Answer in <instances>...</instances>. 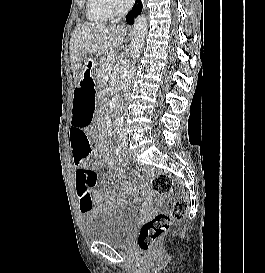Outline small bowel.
<instances>
[{
    "instance_id": "1",
    "label": "small bowel",
    "mask_w": 265,
    "mask_h": 273,
    "mask_svg": "<svg viewBox=\"0 0 265 273\" xmlns=\"http://www.w3.org/2000/svg\"><path fill=\"white\" fill-rule=\"evenodd\" d=\"M95 91H80L74 93V118L70 125V144L72 148V157L77 167L76 170V195L80 212L89 217V215L98 208H110L114 204H122L123 198L110 197L105 203H102L104 194L96 190L100 177V169L94 165V151L89 139L87 128L93 117ZM101 153L109 157L110 152L106 146L101 147ZM133 194L138 190L133 189Z\"/></svg>"
}]
</instances>
